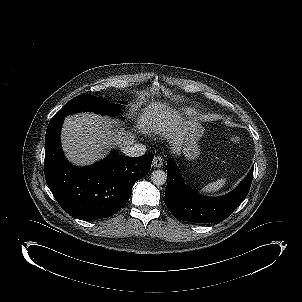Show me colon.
Segmentation results:
<instances>
[{
    "label": "colon",
    "mask_w": 302,
    "mask_h": 302,
    "mask_svg": "<svg viewBox=\"0 0 302 302\" xmlns=\"http://www.w3.org/2000/svg\"><path fill=\"white\" fill-rule=\"evenodd\" d=\"M222 141L225 143H235L239 141V137L237 135L225 136L222 138Z\"/></svg>",
    "instance_id": "colon-1"
}]
</instances>
